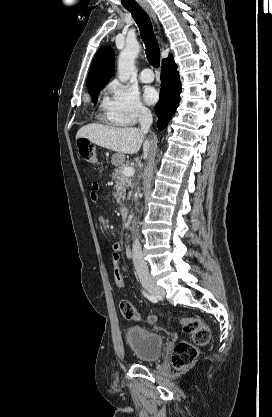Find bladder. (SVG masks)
Wrapping results in <instances>:
<instances>
[{"mask_svg":"<svg viewBox=\"0 0 272 417\" xmlns=\"http://www.w3.org/2000/svg\"><path fill=\"white\" fill-rule=\"evenodd\" d=\"M125 338L137 359L152 362L161 356L164 346L162 335L141 327H130L126 330Z\"/></svg>","mask_w":272,"mask_h":417,"instance_id":"bladder-1","label":"bladder"}]
</instances>
